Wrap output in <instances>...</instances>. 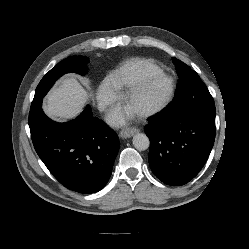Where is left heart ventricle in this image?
Here are the masks:
<instances>
[{
  "label": "left heart ventricle",
  "mask_w": 249,
  "mask_h": 249,
  "mask_svg": "<svg viewBox=\"0 0 249 249\" xmlns=\"http://www.w3.org/2000/svg\"><path fill=\"white\" fill-rule=\"evenodd\" d=\"M168 89L169 83L167 81L156 82L143 91L133 102L128 104V107L134 113L152 107L165 97Z\"/></svg>",
  "instance_id": "b2bd125f"
}]
</instances>
